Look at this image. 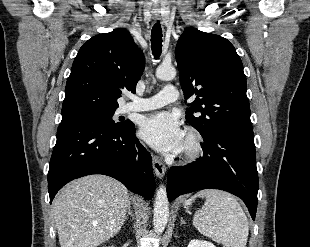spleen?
<instances>
[{
    "mask_svg": "<svg viewBox=\"0 0 310 247\" xmlns=\"http://www.w3.org/2000/svg\"><path fill=\"white\" fill-rule=\"evenodd\" d=\"M196 198H205L193 218V225L202 235L226 247H246L248 219L234 196L222 190H202L186 200L185 206Z\"/></svg>",
    "mask_w": 310,
    "mask_h": 247,
    "instance_id": "obj_1",
    "label": "spleen"
}]
</instances>
